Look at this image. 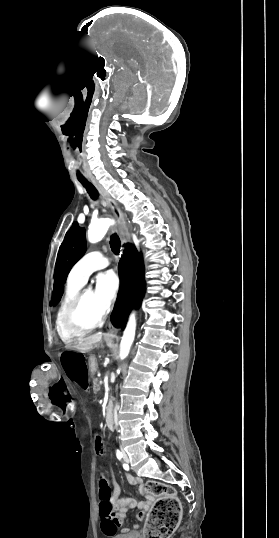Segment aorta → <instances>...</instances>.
Segmentation results:
<instances>
[{"label":"aorta","instance_id":"1","mask_svg":"<svg viewBox=\"0 0 279 538\" xmlns=\"http://www.w3.org/2000/svg\"><path fill=\"white\" fill-rule=\"evenodd\" d=\"M114 223L113 220L109 218H102L97 220L96 222L92 223L89 230H88V240L91 243H96L102 240V238L107 233L108 228L110 225ZM91 288H89L90 291ZM135 330H136V320H135V314L132 313L129 317L127 326L124 330L123 337L120 344V357L121 359L126 358L128 355L131 345L134 341L135 337Z\"/></svg>","mask_w":279,"mask_h":538}]
</instances>
